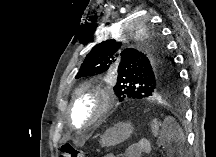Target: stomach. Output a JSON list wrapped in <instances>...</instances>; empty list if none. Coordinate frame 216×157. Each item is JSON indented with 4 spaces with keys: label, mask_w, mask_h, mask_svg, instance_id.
Instances as JSON below:
<instances>
[{
    "label": "stomach",
    "mask_w": 216,
    "mask_h": 157,
    "mask_svg": "<svg viewBox=\"0 0 216 157\" xmlns=\"http://www.w3.org/2000/svg\"><path fill=\"white\" fill-rule=\"evenodd\" d=\"M133 132V126L130 123H118L108 128L101 136L102 146H115L126 140Z\"/></svg>",
    "instance_id": "stomach-1"
}]
</instances>
